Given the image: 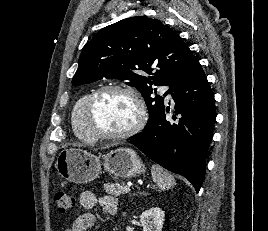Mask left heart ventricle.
<instances>
[{
    "label": "left heart ventricle",
    "mask_w": 268,
    "mask_h": 231,
    "mask_svg": "<svg viewBox=\"0 0 268 231\" xmlns=\"http://www.w3.org/2000/svg\"><path fill=\"white\" fill-rule=\"evenodd\" d=\"M137 115L136 105L127 95L108 92L96 100L91 122L98 131L120 132L129 128Z\"/></svg>",
    "instance_id": "left-heart-ventricle-1"
}]
</instances>
